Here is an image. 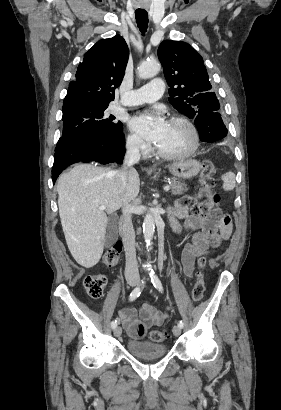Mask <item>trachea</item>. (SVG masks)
I'll list each match as a JSON object with an SVG mask.
<instances>
[{
	"instance_id": "3493384b",
	"label": "trachea",
	"mask_w": 281,
	"mask_h": 410,
	"mask_svg": "<svg viewBox=\"0 0 281 410\" xmlns=\"http://www.w3.org/2000/svg\"><path fill=\"white\" fill-rule=\"evenodd\" d=\"M135 17L138 28L144 34L148 28V13L146 11H136Z\"/></svg>"
}]
</instances>
